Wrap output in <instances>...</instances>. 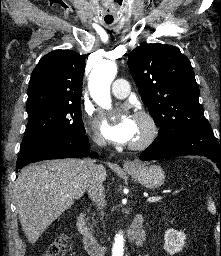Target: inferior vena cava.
Wrapping results in <instances>:
<instances>
[{
  "instance_id": "1",
  "label": "inferior vena cava",
  "mask_w": 221,
  "mask_h": 256,
  "mask_svg": "<svg viewBox=\"0 0 221 256\" xmlns=\"http://www.w3.org/2000/svg\"><path fill=\"white\" fill-rule=\"evenodd\" d=\"M94 142L100 147L106 145L105 139L101 136L94 137ZM103 173L104 167L102 165H95L93 161L87 165L85 184L89 197L96 203L98 209L105 206Z\"/></svg>"
}]
</instances>
